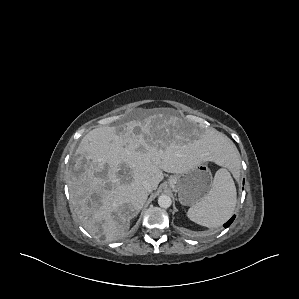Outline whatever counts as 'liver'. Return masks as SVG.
<instances>
[{
  "label": "liver",
  "mask_w": 299,
  "mask_h": 299,
  "mask_svg": "<svg viewBox=\"0 0 299 299\" xmlns=\"http://www.w3.org/2000/svg\"><path fill=\"white\" fill-rule=\"evenodd\" d=\"M234 152L224 134L197 133L163 113L127 122L121 132L109 126L93 129L81 140L68 174L74 213L91 235L117 240L148 198L143 181L156 190L163 171L183 173L206 161L224 165Z\"/></svg>",
  "instance_id": "6515ba94"
}]
</instances>
